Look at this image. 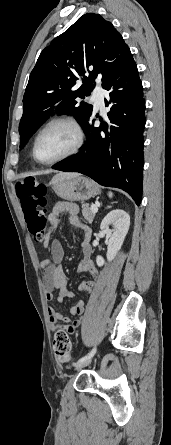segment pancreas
I'll return each mask as SVG.
<instances>
[{
  "label": "pancreas",
  "mask_w": 171,
  "mask_h": 445,
  "mask_svg": "<svg viewBox=\"0 0 171 445\" xmlns=\"http://www.w3.org/2000/svg\"><path fill=\"white\" fill-rule=\"evenodd\" d=\"M70 213L74 216L78 213V210H70ZM82 214L84 218L89 222H92L95 217V213L91 211V208L87 203H82Z\"/></svg>",
  "instance_id": "pancreas-1"
}]
</instances>
